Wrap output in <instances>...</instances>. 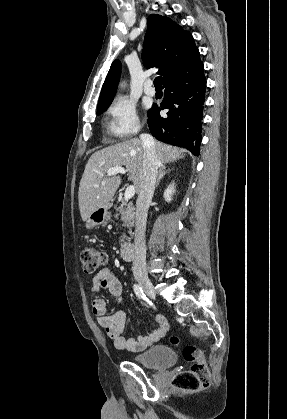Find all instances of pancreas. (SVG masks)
<instances>
[{"mask_svg": "<svg viewBox=\"0 0 287 419\" xmlns=\"http://www.w3.org/2000/svg\"><path fill=\"white\" fill-rule=\"evenodd\" d=\"M114 208L116 211V217L120 216L121 218L122 226L126 227L129 230V233H132L131 227L133 226L135 220V212L132 203L124 199L121 201L119 206L115 205ZM124 239L129 240V237L123 235L122 241Z\"/></svg>", "mask_w": 287, "mask_h": 419, "instance_id": "cf45deb5", "label": "pancreas"}]
</instances>
